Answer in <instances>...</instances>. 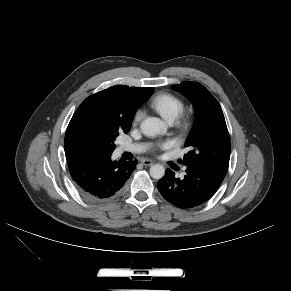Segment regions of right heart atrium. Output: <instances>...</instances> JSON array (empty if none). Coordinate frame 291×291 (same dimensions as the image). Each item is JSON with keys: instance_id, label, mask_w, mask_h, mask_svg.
<instances>
[{"instance_id": "obj_1", "label": "right heart atrium", "mask_w": 291, "mask_h": 291, "mask_svg": "<svg viewBox=\"0 0 291 291\" xmlns=\"http://www.w3.org/2000/svg\"><path fill=\"white\" fill-rule=\"evenodd\" d=\"M142 116H143V112L141 110L136 111L134 118H133V122L134 123L139 122L141 120Z\"/></svg>"}]
</instances>
